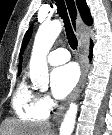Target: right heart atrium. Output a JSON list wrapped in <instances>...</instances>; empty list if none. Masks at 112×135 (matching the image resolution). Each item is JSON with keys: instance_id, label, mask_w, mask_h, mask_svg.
I'll return each mask as SVG.
<instances>
[{"instance_id": "right-heart-atrium-1", "label": "right heart atrium", "mask_w": 112, "mask_h": 135, "mask_svg": "<svg viewBox=\"0 0 112 135\" xmlns=\"http://www.w3.org/2000/svg\"><path fill=\"white\" fill-rule=\"evenodd\" d=\"M40 102H41V105L48 111L54 105V102H53L52 98L48 94H42L40 96Z\"/></svg>"}]
</instances>
